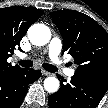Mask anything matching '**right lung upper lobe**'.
Instances as JSON below:
<instances>
[{"label": "right lung upper lobe", "mask_w": 108, "mask_h": 108, "mask_svg": "<svg viewBox=\"0 0 108 108\" xmlns=\"http://www.w3.org/2000/svg\"><path fill=\"white\" fill-rule=\"evenodd\" d=\"M41 15V10L29 7L12 6L0 9V74L23 69L18 65L12 66L7 58L19 46L30 25Z\"/></svg>", "instance_id": "cb5924a9"}]
</instances>
